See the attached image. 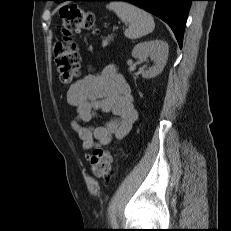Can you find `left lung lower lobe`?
<instances>
[{
  "mask_svg": "<svg viewBox=\"0 0 231 231\" xmlns=\"http://www.w3.org/2000/svg\"><path fill=\"white\" fill-rule=\"evenodd\" d=\"M67 1V0H62ZM86 1V0H85ZM127 1L165 21L173 30L179 46L182 47L187 15L193 0H87Z\"/></svg>",
  "mask_w": 231,
  "mask_h": 231,
  "instance_id": "1",
  "label": "left lung lower lobe"
}]
</instances>
